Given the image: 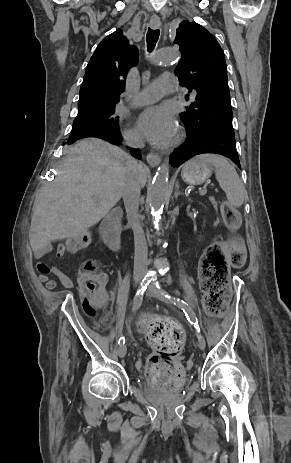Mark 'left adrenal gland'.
<instances>
[{
	"label": "left adrenal gland",
	"mask_w": 291,
	"mask_h": 463,
	"mask_svg": "<svg viewBox=\"0 0 291 463\" xmlns=\"http://www.w3.org/2000/svg\"><path fill=\"white\" fill-rule=\"evenodd\" d=\"M181 194V192L179 191V185L177 184L176 185V190H175V193H174V197L177 199V197Z\"/></svg>",
	"instance_id": "left-adrenal-gland-1"
}]
</instances>
